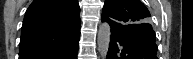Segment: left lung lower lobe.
Masks as SVG:
<instances>
[{"label":"left lung lower lobe","mask_w":193,"mask_h":59,"mask_svg":"<svg viewBox=\"0 0 193 59\" xmlns=\"http://www.w3.org/2000/svg\"><path fill=\"white\" fill-rule=\"evenodd\" d=\"M111 26V41L107 59H157L155 32L150 24L130 29L102 16Z\"/></svg>","instance_id":"left-lung-lower-lobe-1"}]
</instances>
